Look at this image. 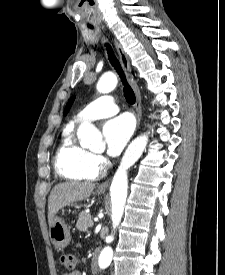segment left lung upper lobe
Listing matches in <instances>:
<instances>
[{
	"instance_id": "obj_1",
	"label": "left lung upper lobe",
	"mask_w": 225,
	"mask_h": 275,
	"mask_svg": "<svg viewBox=\"0 0 225 275\" xmlns=\"http://www.w3.org/2000/svg\"><path fill=\"white\" fill-rule=\"evenodd\" d=\"M73 101H74V98H72V99L68 102V104L66 105L65 114H67V112H68V110L70 109V107H71Z\"/></svg>"
}]
</instances>
